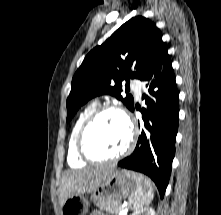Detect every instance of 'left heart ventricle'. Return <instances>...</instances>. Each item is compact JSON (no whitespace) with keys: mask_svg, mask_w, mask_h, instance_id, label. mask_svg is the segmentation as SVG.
<instances>
[{"mask_svg":"<svg viewBox=\"0 0 221 215\" xmlns=\"http://www.w3.org/2000/svg\"><path fill=\"white\" fill-rule=\"evenodd\" d=\"M128 138V128L122 117L115 112H106L88 130L85 145L91 155L105 158L122 151Z\"/></svg>","mask_w":221,"mask_h":215,"instance_id":"1","label":"left heart ventricle"}]
</instances>
